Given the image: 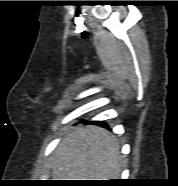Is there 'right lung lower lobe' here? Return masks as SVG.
I'll list each match as a JSON object with an SVG mask.
<instances>
[{
    "label": "right lung lower lobe",
    "instance_id": "right-lung-lower-lobe-1",
    "mask_svg": "<svg viewBox=\"0 0 178 186\" xmlns=\"http://www.w3.org/2000/svg\"><path fill=\"white\" fill-rule=\"evenodd\" d=\"M98 124H100V125H105L103 122H97Z\"/></svg>",
    "mask_w": 178,
    "mask_h": 186
}]
</instances>
